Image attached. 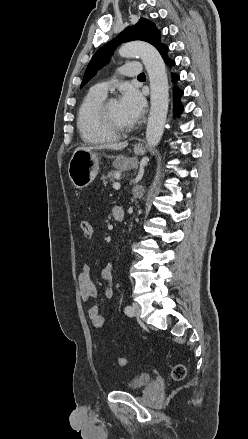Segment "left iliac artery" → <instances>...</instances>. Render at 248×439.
<instances>
[{
    "label": "left iliac artery",
    "instance_id": "1",
    "mask_svg": "<svg viewBox=\"0 0 248 439\" xmlns=\"http://www.w3.org/2000/svg\"><path fill=\"white\" fill-rule=\"evenodd\" d=\"M124 312H125V314H127L128 316H132L133 309H132V307H131L130 305H127V306L124 308Z\"/></svg>",
    "mask_w": 248,
    "mask_h": 439
}]
</instances>
